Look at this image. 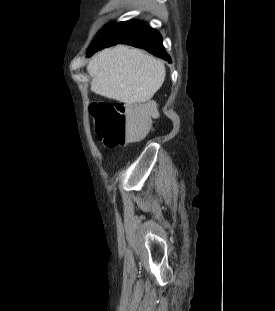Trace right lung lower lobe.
Wrapping results in <instances>:
<instances>
[{"instance_id":"right-lung-lower-lobe-1","label":"right lung lower lobe","mask_w":275,"mask_h":311,"mask_svg":"<svg viewBox=\"0 0 275 311\" xmlns=\"http://www.w3.org/2000/svg\"><path fill=\"white\" fill-rule=\"evenodd\" d=\"M120 44H127L137 48L145 49L147 52L171 62L170 56L165 51L162 44V36L150 27L140 25Z\"/></svg>"}]
</instances>
